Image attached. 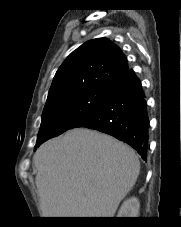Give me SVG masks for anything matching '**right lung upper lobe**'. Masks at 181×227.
I'll use <instances>...</instances> for the list:
<instances>
[{"label":"right lung upper lobe","instance_id":"1","mask_svg":"<svg viewBox=\"0 0 181 227\" xmlns=\"http://www.w3.org/2000/svg\"><path fill=\"white\" fill-rule=\"evenodd\" d=\"M129 71L126 57L116 44L107 38L90 40L59 67L45 107L62 97L110 88Z\"/></svg>","mask_w":181,"mask_h":227}]
</instances>
